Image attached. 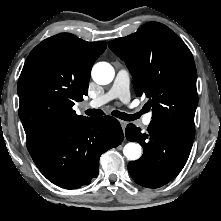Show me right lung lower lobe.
Listing matches in <instances>:
<instances>
[{"label":"right lung lower lobe","mask_w":221,"mask_h":221,"mask_svg":"<svg viewBox=\"0 0 221 221\" xmlns=\"http://www.w3.org/2000/svg\"><path fill=\"white\" fill-rule=\"evenodd\" d=\"M123 138L114 117L87 118L58 129L29 153L48 180L76 189L97 177L101 154L117 147Z\"/></svg>","instance_id":"right-lung-lower-lobe-1"}]
</instances>
